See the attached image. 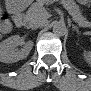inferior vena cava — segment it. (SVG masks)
<instances>
[{
  "instance_id": "602c4592",
  "label": "inferior vena cava",
  "mask_w": 91,
  "mask_h": 91,
  "mask_svg": "<svg viewBox=\"0 0 91 91\" xmlns=\"http://www.w3.org/2000/svg\"><path fill=\"white\" fill-rule=\"evenodd\" d=\"M45 24V22L43 20H39L36 22H30L28 27L32 28V29H37L39 27H42Z\"/></svg>"
}]
</instances>
